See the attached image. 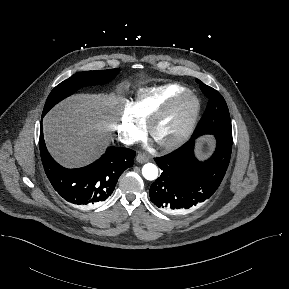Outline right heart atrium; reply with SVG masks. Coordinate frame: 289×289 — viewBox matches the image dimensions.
I'll list each match as a JSON object with an SVG mask.
<instances>
[{"mask_svg":"<svg viewBox=\"0 0 289 289\" xmlns=\"http://www.w3.org/2000/svg\"><path fill=\"white\" fill-rule=\"evenodd\" d=\"M117 131L125 143H132L143 134L144 124L135 116L132 104L128 101L123 102Z\"/></svg>","mask_w":289,"mask_h":289,"instance_id":"d8ad5b80","label":"right heart atrium"}]
</instances>
